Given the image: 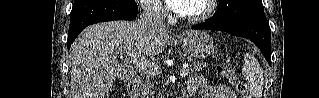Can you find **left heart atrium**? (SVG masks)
<instances>
[{
	"mask_svg": "<svg viewBox=\"0 0 319 98\" xmlns=\"http://www.w3.org/2000/svg\"><path fill=\"white\" fill-rule=\"evenodd\" d=\"M189 0H167L168 7L176 12H183L187 9Z\"/></svg>",
	"mask_w": 319,
	"mask_h": 98,
	"instance_id": "39dd6f15",
	"label": "left heart atrium"
}]
</instances>
